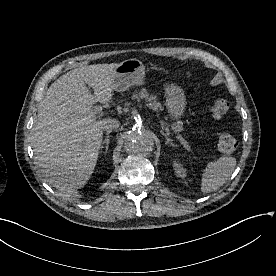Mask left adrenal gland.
<instances>
[{"mask_svg":"<svg viewBox=\"0 0 276 276\" xmlns=\"http://www.w3.org/2000/svg\"><path fill=\"white\" fill-rule=\"evenodd\" d=\"M160 133L165 137L166 142L165 144H170L171 146L175 147L176 145L172 142V140L168 137L167 134L164 133V131H160Z\"/></svg>","mask_w":276,"mask_h":276,"instance_id":"obj_1","label":"left adrenal gland"}]
</instances>
